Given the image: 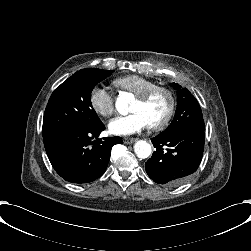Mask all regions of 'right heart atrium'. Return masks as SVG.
<instances>
[{"label":"right heart atrium","mask_w":251,"mask_h":251,"mask_svg":"<svg viewBox=\"0 0 251 251\" xmlns=\"http://www.w3.org/2000/svg\"><path fill=\"white\" fill-rule=\"evenodd\" d=\"M89 104L93 111L101 116L108 117L115 111L114 96L106 87L95 85L89 92Z\"/></svg>","instance_id":"right-heart-atrium-1"}]
</instances>
